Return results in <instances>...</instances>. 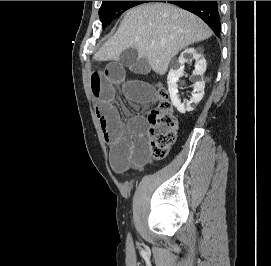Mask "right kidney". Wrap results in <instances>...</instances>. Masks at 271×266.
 Instances as JSON below:
<instances>
[{"instance_id": "obj_1", "label": "right kidney", "mask_w": 271, "mask_h": 266, "mask_svg": "<svg viewBox=\"0 0 271 266\" xmlns=\"http://www.w3.org/2000/svg\"><path fill=\"white\" fill-rule=\"evenodd\" d=\"M196 60L195 70L193 71V92L190 100L181 103L178 97V85L179 78L184 75L183 65L188 61ZM179 68H172L169 71L167 77L168 90L172 104L177 108L180 113L194 110L195 106L201 101L204 96L205 82L203 80V74L206 71V60L202 54H199L194 48L185 49L178 58Z\"/></svg>"}]
</instances>
